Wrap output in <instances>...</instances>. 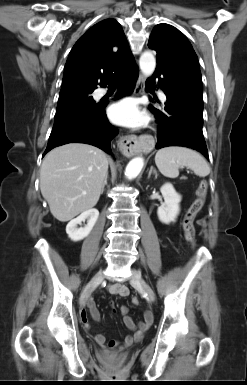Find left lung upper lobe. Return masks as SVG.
<instances>
[{"instance_id": "5c2ea615", "label": "left lung upper lobe", "mask_w": 247, "mask_h": 385, "mask_svg": "<svg viewBox=\"0 0 247 385\" xmlns=\"http://www.w3.org/2000/svg\"><path fill=\"white\" fill-rule=\"evenodd\" d=\"M149 48L157 52V61L166 65L191 90L202 95L203 86L195 51L187 38L169 24L154 27Z\"/></svg>"}]
</instances>
